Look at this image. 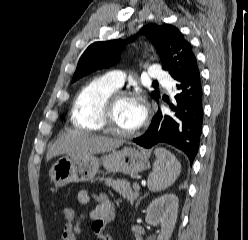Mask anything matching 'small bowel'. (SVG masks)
I'll return each mask as SVG.
<instances>
[{
  "label": "small bowel",
  "mask_w": 248,
  "mask_h": 240,
  "mask_svg": "<svg viewBox=\"0 0 248 240\" xmlns=\"http://www.w3.org/2000/svg\"><path fill=\"white\" fill-rule=\"evenodd\" d=\"M92 198L98 203L89 213V218L92 221V229L102 240H112L111 237L103 233V230L105 225L115 216V204L105 193L94 194ZM90 199L91 196L85 190L79 192L78 200L82 205H87ZM84 218L85 215H80L71 221L65 222L62 239L76 240L77 236L81 232V221Z\"/></svg>",
  "instance_id": "small-bowel-1"
}]
</instances>
